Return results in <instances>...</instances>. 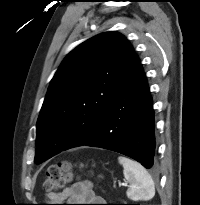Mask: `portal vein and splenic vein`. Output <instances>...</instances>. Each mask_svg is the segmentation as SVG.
<instances>
[{
	"instance_id": "18ae733b",
	"label": "portal vein and splenic vein",
	"mask_w": 200,
	"mask_h": 205,
	"mask_svg": "<svg viewBox=\"0 0 200 205\" xmlns=\"http://www.w3.org/2000/svg\"><path fill=\"white\" fill-rule=\"evenodd\" d=\"M119 185H120V186H127V183H126V182H123V183H120Z\"/></svg>"
}]
</instances>
